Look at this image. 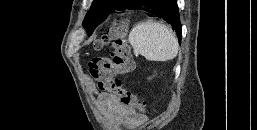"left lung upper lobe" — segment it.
Here are the masks:
<instances>
[{"mask_svg": "<svg viewBox=\"0 0 257 130\" xmlns=\"http://www.w3.org/2000/svg\"><path fill=\"white\" fill-rule=\"evenodd\" d=\"M128 0H94L88 15L83 21V26L90 36L95 27L110 13L122 7Z\"/></svg>", "mask_w": 257, "mask_h": 130, "instance_id": "left-lung-upper-lobe-1", "label": "left lung upper lobe"}]
</instances>
